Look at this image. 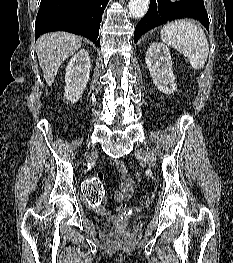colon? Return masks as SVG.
Instances as JSON below:
<instances>
[{
  "instance_id": "5ec220e1",
  "label": "colon",
  "mask_w": 233,
  "mask_h": 263,
  "mask_svg": "<svg viewBox=\"0 0 233 263\" xmlns=\"http://www.w3.org/2000/svg\"><path fill=\"white\" fill-rule=\"evenodd\" d=\"M95 177L84 178L82 186L84 187V198L88 199L87 208H98L101 204V199L104 193L102 180L103 176L107 175L106 171H95ZM151 197L148 195H142L140 198V204L143 207H147L151 204Z\"/></svg>"
}]
</instances>
